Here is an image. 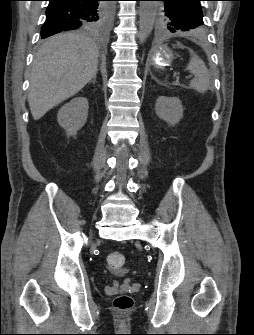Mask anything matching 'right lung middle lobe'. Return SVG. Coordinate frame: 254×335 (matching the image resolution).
Listing matches in <instances>:
<instances>
[{"instance_id": "1", "label": "right lung middle lobe", "mask_w": 254, "mask_h": 335, "mask_svg": "<svg viewBox=\"0 0 254 335\" xmlns=\"http://www.w3.org/2000/svg\"><path fill=\"white\" fill-rule=\"evenodd\" d=\"M108 12H109V8H107V7H102L101 8L100 16H99L98 20L96 21L95 27L92 30L99 29V28H101L105 25V23L107 22V19H108Z\"/></svg>"}]
</instances>
